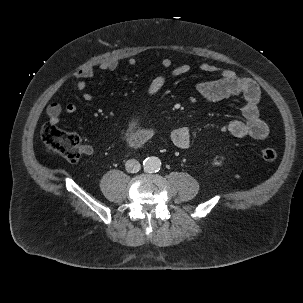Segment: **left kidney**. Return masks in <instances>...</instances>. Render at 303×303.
<instances>
[{"mask_svg":"<svg viewBox=\"0 0 303 303\" xmlns=\"http://www.w3.org/2000/svg\"><path fill=\"white\" fill-rule=\"evenodd\" d=\"M216 165H220L221 164V162L220 161H218V160H215V162H214Z\"/></svg>","mask_w":303,"mask_h":303,"instance_id":"5707ae66","label":"left kidney"}]
</instances>
